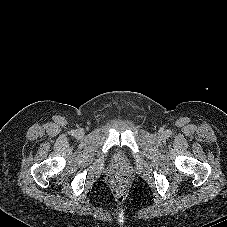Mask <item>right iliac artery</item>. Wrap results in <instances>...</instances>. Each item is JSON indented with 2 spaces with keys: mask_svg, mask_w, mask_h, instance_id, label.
I'll return each instance as SVG.
<instances>
[{
  "mask_svg": "<svg viewBox=\"0 0 227 227\" xmlns=\"http://www.w3.org/2000/svg\"><path fill=\"white\" fill-rule=\"evenodd\" d=\"M74 134H75V131H74V130H72V131H71V135H74Z\"/></svg>",
  "mask_w": 227,
  "mask_h": 227,
  "instance_id": "1",
  "label": "right iliac artery"
}]
</instances>
